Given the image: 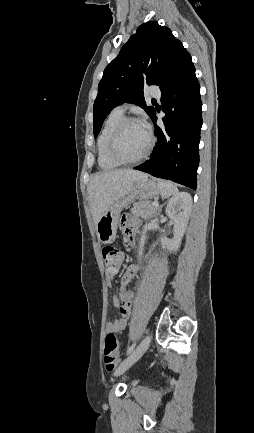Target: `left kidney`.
<instances>
[{
  "instance_id": "left-kidney-1",
  "label": "left kidney",
  "mask_w": 254,
  "mask_h": 433,
  "mask_svg": "<svg viewBox=\"0 0 254 433\" xmlns=\"http://www.w3.org/2000/svg\"><path fill=\"white\" fill-rule=\"evenodd\" d=\"M192 207V197L187 192H179L173 196L166 206L167 216L174 222V237L161 238V246L170 252H176L185 233Z\"/></svg>"
}]
</instances>
